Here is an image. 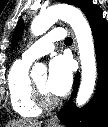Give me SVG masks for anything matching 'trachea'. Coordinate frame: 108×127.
Masks as SVG:
<instances>
[{"instance_id": "trachea-1", "label": "trachea", "mask_w": 108, "mask_h": 127, "mask_svg": "<svg viewBox=\"0 0 108 127\" xmlns=\"http://www.w3.org/2000/svg\"><path fill=\"white\" fill-rule=\"evenodd\" d=\"M72 38L71 37H67L66 39H65V44H71L72 43Z\"/></svg>"}]
</instances>
